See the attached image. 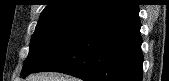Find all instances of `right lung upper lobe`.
Here are the masks:
<instances>
[{"label":"right lung upper lobe","instance_id":"1","mask_svg":"<svg viewBox=\"0 0 169 81\" xmlns=\"http://www.w3.org/2000/svg\"><path fill=\"white\" fill-rule=\"evenodd\" d=\"M127 0H49L40 19L77 16L90 20Z\"/></svg>","mask_w":169,"mask_h":81}]
</instances>
